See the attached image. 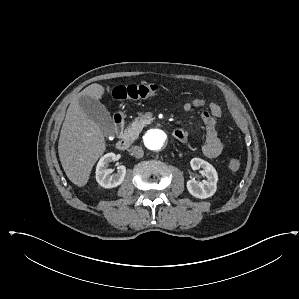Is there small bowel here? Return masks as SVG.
I'll list each match as a JSON object with an SVG mask.
<instances>
[{
	"mask_svg": "<svg viewBox=\"0 0 299 299\" xmlns=\"http://www.w3.org/2000/svg\"><path fill=\"white\" fill-rule=\"evenodd\" d=\"M201 107L205 108L202 113V119L205 125V143L203 145L202 151L205 156L209 158H215L219 156L223 150V143L217 135L216 128L217 119L222 117L223 111L221 106L216 101H207L199 98H195L186 102L183 109L186 113H191L195 109ZM178 129L183 131L187 138L186 132L183 129Z\"/></svg>",
	"mask_w": 299,
	"mask_h": 299,
	"instance_id": "obj_1",
	"label": "small bowel"
}]
</instances>
